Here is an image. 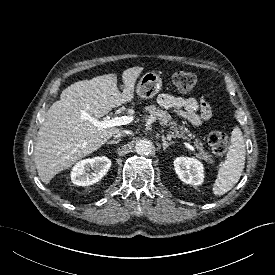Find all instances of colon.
<instances>
[{
    "mask_svg": "<svg viewBox=\"0 0 275 275\" xmlns=\"http://www.w3.org/2000/svg\"><path fill=\"white\" fill-rule=\"evenodd\" d=\"M174 86L181 92H189L196 85V76L190 72L178 71L172 76ZM208 143L214 152L222 154L227 150L228 137L221 131H212L208 135Z\"/></svg>",
    "mask_w": 275,
    "mask_h": 275,
    "instance_id": "obj_1",
    "label": "colon"
}]
</instances>
